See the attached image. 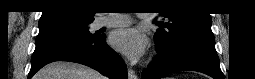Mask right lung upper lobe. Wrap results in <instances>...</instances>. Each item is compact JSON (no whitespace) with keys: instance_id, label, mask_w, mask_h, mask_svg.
Segmentation results:
<instances>
[{"instance_id":"cb5924a9","label":"right lung upper lobe","mask_w":255,"mask_h":79,"mask_svg":"<svg viewBox=\"0 0 255 79\" xmlns=\"http://www.w3.org/2000/svg\"><path fill=\"white\" fill-rule=\"evenodd\" d=\"M92 10L89 0H48L40 19L70 15L84 21H92Z\"/></svg>"}]
</instances>
